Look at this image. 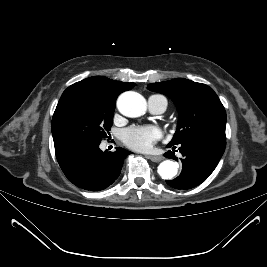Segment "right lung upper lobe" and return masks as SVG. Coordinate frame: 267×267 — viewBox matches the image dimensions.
<instances>
[{
  "label": "right lung upper lobe",
  "mask_w": 267,
  "mask_h": 267,
  "mask_svg": "<svg viewBox=\"0 0 267 267\" xmlns=\"http://www.w3.org/2000/svg\"><path fill=\"white\" fill-rule=\"evenodd\" d=\"M71 86H90L96 88L105 96L116 102L120 93L130 90L133 86H135V84L115 81L103 76H93Z\"/></svg>",
  "instance_id": "obj_1"
}]
</instances>
